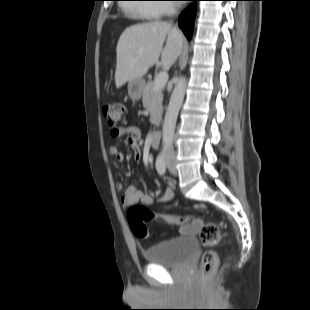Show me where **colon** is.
Returning <instances> with one entry per match:
<instances>
[{
  "label": "colon",
  "mask_w": 310,
  "mask_h": 310,
  "mask_svg": "<svg viewBox=\"0 0 310 310\" xmlns=\"http://www.w3.org/2000/svg\"><path fill=\"white\" fill-rule=\"evenodd\" d=\"M124 113L125 108L121 103H109L103 106V115L111 128L119 127ZM127 220L133 233L141 238L148 236L146 223L149 221L190 226L193 232L197 229L202 244L207 247L201 261L202 275L208 276L214 271L218 261L215 247L220 241V230L217 224L201 218L153 213L141 204L130 206L127 212Z\"/></svg>",
  "instance_id": "colon-1"
}]
</instances>
